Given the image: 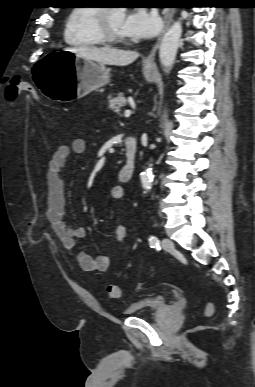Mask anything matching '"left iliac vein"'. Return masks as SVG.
<instances>
[{
  "instance_id": "left-iliac-vein-1",
  "label": "left iliac vein",
  "mask_w": 255,
  "mask_h": 387,
  "mask_svg": "<svg viewBox=\"0 0 255 387\" xmlns=\"http://www.w3.org/2000/svg\"><path fill=\"white\" fill-rule=\"evenodd\" d=\"M162 247L164 250H171L174 248V243L170 239L164 238L162 240Z\"/></svg>"
}]
</instances>
